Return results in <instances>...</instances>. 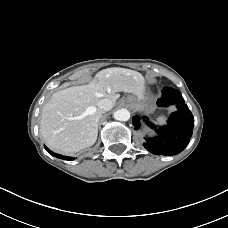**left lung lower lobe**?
<instances>
[{
    "mask_svg": "<svg viewBox=\"0 0 228 228\" xmlns=\"http://www.w3.org/2000/svg\"><path fill=\"white\" fill-rule=\"evenodd\" d=\"M175 104L177 111L172 113L168 124L156 129L146 117L143 120L148 126H152L157 132L158 136L154 138H145L144 147L155 155H176L183 151L189 139L192 136L194 117L190 112L188 106L181 93L173 88H164L162 90V97L157 100V105L167 107ZM133 125L136 129L140 127V118L138 116L133 117Z\"/></svg>",
    "mask_w": 228,
    "mask_h": 228,
    "instance_id": "0a47b994",
    "label": "left lung lower lobe"
}]
</instances>
